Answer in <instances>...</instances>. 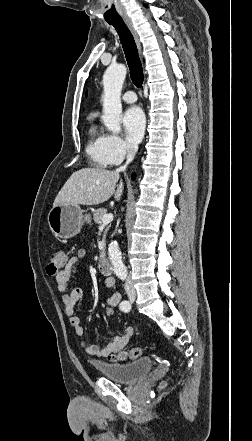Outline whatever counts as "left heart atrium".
<instances>
[{"mask_svg":"<svg viewBox=\"0 0 252 441\" xmlns=\"http://www.w3.org/2000/svg\"><path fill=\"white\" fill-rule=\"evenodd\" d=\"M122 124L127 141L130 144H137L145 130V116L139 107H131L124 113Z\"/></svg>","mask_w":252,"mask_h":441,"instance_id":"obj_1","label":"left heart atrium"}]
</instances>
